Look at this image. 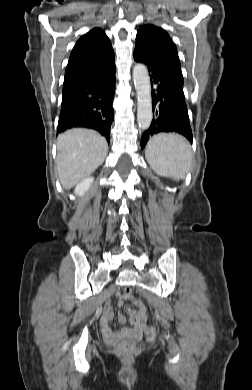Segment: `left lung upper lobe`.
Masks as SVG:
<instances>
[{"instance_id":"left-lung-upper-lobe-1","label":"left lung upper lobe","mask_w":252,"mask_h":390,"mask_svg":"<svg viewBox=\"0 0 252 390\" xmlns=\"http://www.w3.org/2000/svg\"><path fill=\"white\" fill-rule=\"evenodd\" d=\"M135 47L182 73L176 45L164 29L153 25L143 26L137 32Z\"/></svg>"}]
</instances>
